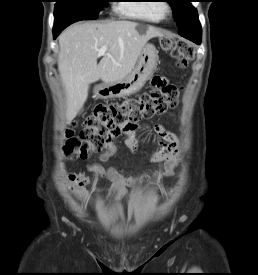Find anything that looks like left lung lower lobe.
<instances>
[{"label": "left lung lower lobe", "instance_id": "0a47b994", "mask_svg": "<svg viewBox=\"0 0 258 275\" xmlns=\"http://www.w3.org/2000/svg\"><path fill=\"white\" fill-rule=\"evenodd\" d=\"M179 35L193 41L196 44H200L202 39V30L199 20L185 29L180 30Z\"/></svg>", "mask_w": 258, "mask_h": 275}]
</instances>
